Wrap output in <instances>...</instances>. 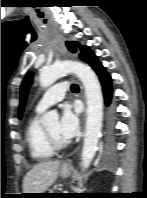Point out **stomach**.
Wrapping results in <instances>:
<instances>
[{
	"label": "stomach",
	"instance_id": "stomach-1",
	"mask_svg": "<svg viewBox=\"0 0 147 198\" xmlns=\"http://www.w3.org/2000/svg\"><path fill=\"white\" fill-rule=\"evenodd\" d=\"M70 173H71V169H70V168L62 167V168L60 169V175H61V177H63V178L69 177ZM44 193H53V192L50 191V192H44Z\"/></svg>",
	"mask_w": 147,
	"mask_h": 198
}]
</instances>
